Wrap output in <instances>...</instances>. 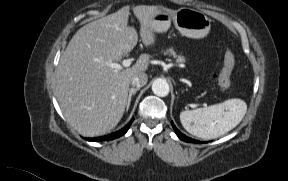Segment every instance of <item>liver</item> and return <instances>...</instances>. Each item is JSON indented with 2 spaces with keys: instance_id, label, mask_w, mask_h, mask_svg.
<instances>
[{
  "instance_id": "liver-1",
  "label": "liver",
  "mask_w": 288,
  "mask_h": 181,
  "mask_svg": "<svg viewBox=\"0 0 288 181\" xmlns=\"http://www.w3.org/2000/svg\"><path fill=\"white\" fill-rule=\"evenodd\" d=\"M130 7L81 27L68 43L56 70L55 94L67 122L81 135L100 136L121 120L132 78L145 73L150 56L141 54L130 68L113 69L138 42L128 26ZM174 11V10H173ZM155 6L139 5L133 13L140 22V37L148 47L155 43Z\"/></svg>"
}]
</instances>
